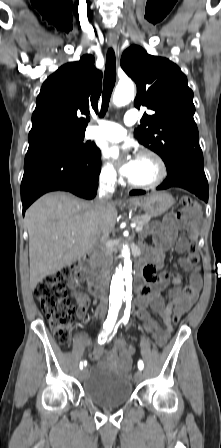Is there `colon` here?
<instances>
[{
  "label": "colon",
  "mask_w": 221,
  "mask_h": 448,
  "mask_svg": "<svg viewBox=\"0 0 221 448\" xmlns=\"http://www.w3.org/2000/svg\"><path fill=\"white\" fill-rule=\"evenodd\" d=\"M182 210L177 215L178 222L189 225L191 216L200 213V206L188 196L181 199ZM199 255L195 243L188 248V261L192 265H198ZM75 265L46 276L35 287L34 294L45 313L55 340L59 344H66L70 339L73 329L75 308L67 297V281L75 276ZM180 320L178 315H173L172 321L176 324Z\"/></svg>",
  "instance_id": "colon-1"
}]
</instances>
